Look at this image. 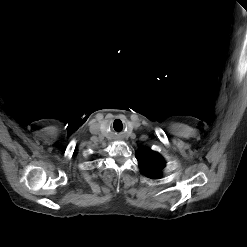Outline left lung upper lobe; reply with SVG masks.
<instances>
[{
  "label": "left lung upper lobe",
  "instance_id": "obj_1",
  "mask_svg": "<svg viewBox=\"0 0 247 247\" xmlns=\"http://www.w3.org/2000/svg\"><path fill=\"white\" fill-rule=\"evenodd\" d=\"M141 172L150 178H159L161 170L165 167V161L161 155L149 148H139L136 152Z\"/></svg>",
  "mask_w": 247,
  "mask_h": 247
}]
</instances>
